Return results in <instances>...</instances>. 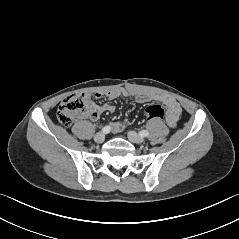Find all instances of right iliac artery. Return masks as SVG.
<instances>
[{"label": "right iliac artery", "instance_id": "obj_1", "mask_svg": "<svg viewBox=\"0 0 239 239\" xmlns=\"http://www.w3.org/2000/svg\"><path fill=\"white\" fill-rule=\"evenodd\" d=\"M110 130H111L110 126H105V127L102 129V132H103L104 134H107V133L110 132Z\"/></svg>", "mask_w": 239, "mask_h": 239}]
</instances>
